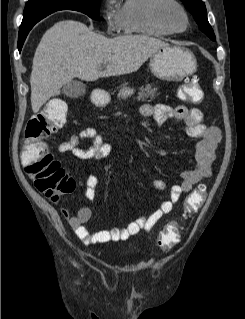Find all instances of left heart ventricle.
I'll return each instance as SVG.
<instances>
[{
    "label": "left heart ventricle",
    "mask_w": 245,
    "mask_h": 319,
    "mask_svg": "<svg viewBox=\"0 0 245 319\" xmlns=\"http://www.w3.org/2000/svg\"><path fill=\"white\" fill-rule=\"evenodd\" d=\"M171 20L176 27L182 26V18L178 13L172 12L171 13Z\"/></svg>",
    "instance_id": "obj_1"
}]
</instances>
